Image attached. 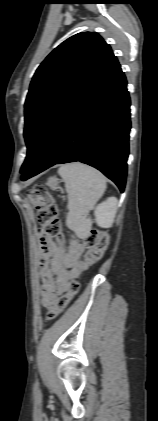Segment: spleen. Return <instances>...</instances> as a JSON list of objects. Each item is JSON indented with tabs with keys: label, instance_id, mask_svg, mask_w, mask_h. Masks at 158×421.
<instances>
[{
	"label": "spleen",
	"instance_id": "1",
	"mask_svg": "<svg viewBox=\"0 0 158 421\" xmlns=\"http://www.w3.org/2000/svg\"><path fill=\"white\" fill-rule=\"evenodd\" d=\"M58 174L68 194L66 225L78 237L85 238L92 224L88 214L104 194L106 178L95 168L79 162L62 165Z\"/></svg>",
	"mask_w": 158,
	"mask_h": 421
}]
</instances>
